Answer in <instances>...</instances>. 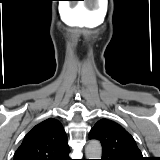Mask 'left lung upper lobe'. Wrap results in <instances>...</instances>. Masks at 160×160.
I'll use <instances>...</instances> for the list:
<instances>
[{
	"label": "left lung upper lobe",
	"mask_w": 160,
	"mask_h": 160,
	"mask_svg": "<svg viewBox=\"0 0 160 160\" xmlns=\"http://www.w3.org/2000/svg\"><path fill=\"white\" fill-rule=\"evenodd\" d=\"M90 139L102 144V160H145L134 138L119 124L99 120L89 133Z\"/></svg>",
	"instance_id": "5c2ea615"
}]
</instances>
